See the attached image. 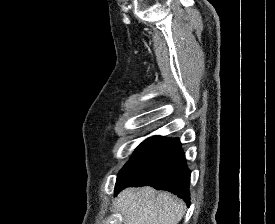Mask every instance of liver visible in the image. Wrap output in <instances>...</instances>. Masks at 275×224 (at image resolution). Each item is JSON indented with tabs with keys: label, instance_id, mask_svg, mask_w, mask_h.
<instances>
[{
	"label": "liver",
	"instance_id": "6515ba94",
	"mask_svg": "<svg viewBox=\"0 0 275 224\" xmlns=\"http://www.w3.org/2000/svg\"><path fill=\"white\" fill-rule=\"evenodd\" d=\"M114 206L122 213L124 224H178L185 209L182 200L152 187L126 188Z\"/></svg>",
	"mask_w": 275,
	"mask_h": 224
}]
</instances>
